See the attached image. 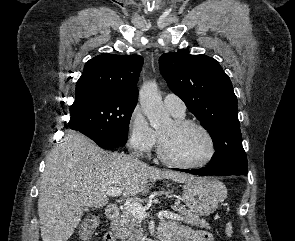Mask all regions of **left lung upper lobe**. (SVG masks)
Instances as JSON below:
<instances>
[{
  "label": "left lung upper lobe",
  "instance_id": "left-lung-upper-lobe-1",
  "mask_svg": "<svg viewBox=\"0 0 295 241\" xmlns=\"http://www.w3.org/2000/svg\"><path fill=\"white\" fill-rule=\"evenodd\" d=\"M159 66L169 88L212 137L215 153L207 166L246 174L237 97L219 63L205 55L180 51L161 55Z\"/></svg>",
  "mask_w": 295,
  "mask_h": 241
}]
</instances>
